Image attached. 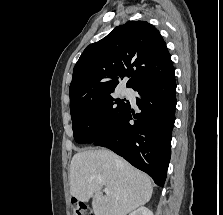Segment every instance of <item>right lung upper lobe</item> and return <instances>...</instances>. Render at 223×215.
Masks as SVG:
<instances>
[{"instance_id":"cb5924a9","label":"right lung upper lobe","mask_w":223,"mask_h":215,"mask_svg":"<svg viewBox=\"0 0 223 215\" xmlns=\"http://www.w3.org/2000/svg\"><path fill=\"white\" fill-rule=\"evenodd\" d=\"M173 70L159 31L146 21H129L83 51L69 87L70 109L111 95L125 76L134 89Z\"/></svg>"}]
</instances>
